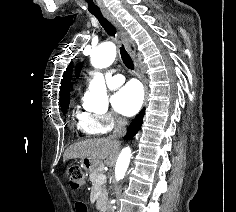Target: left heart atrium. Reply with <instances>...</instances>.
<instances>
[{
	"label": "left heart atrium",
	"mask_w": 236,
	"mask_h": 212,
	"mask_svg": "<svg viewBox=\"0 0 236 212\" xmlns=\"http://www.w3.org/2000/svg\"><path fill=\"white\" fill-rule=\"evenodd\" d=\"M143 103V90L136 82H129L120 88L112 98L115 111L123 116H133Z\"/></svg>",
	"instance_id": "obj_1"
}]
</instances>
